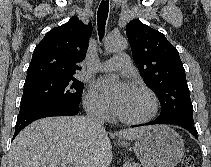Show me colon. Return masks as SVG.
<instances>
[{"mask_svg": "<svg viewBox=\"0 0 211 167\" xmlns=\"http://www.w3.org/2000/svg\"><path fill=\"white\" fill-rule=\"evenodd\" d=\"M180 167H195V161L192 157H186Z\"/></svg>", "mask_w": 211, "mask_h": 167, "instance_id": "5ec220e1", "label": "colon"}]
</instances>
